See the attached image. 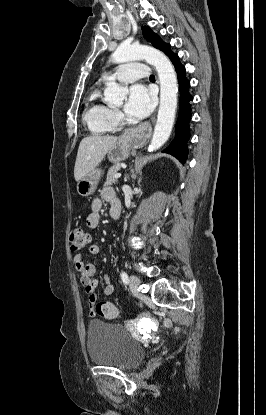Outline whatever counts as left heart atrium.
Listing matches in <instances>:
<instances>
[{
    "mask_svg": "<svg viewBox=\"0 0 266 415\" xmlns=\"http://www.w3.org/2000/svg\"><path fill=\"white\" fill-rule=\"evenodd\" d=\"M154 104L152 92L143 84H134L130 87L124 111L131 117L143 118L153 110Z\"/></svg>",
    "mask_w": 266,
    "mask_h": 415,
    "instance_id": "39dd6f15",
    "label": "left heart atrium"
}]
</instances>
